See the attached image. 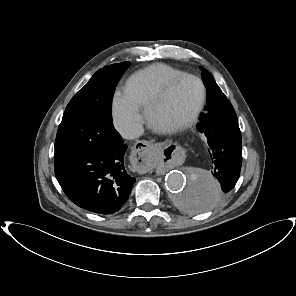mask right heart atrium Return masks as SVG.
<instances>
[{
  "label": "right heart atrium",
  "mask_w": 296,
  "mask_h": 296,
  "mask_svg": "<svg viewBox=\"0 0 296 296\" xmlns=\"http://www.w3.org/2000/svg\"><path fill=\"white\" fill-rule=\"evenodd\" d=\"M113 119L117 130L125 137H133L143 121L140 107L126 91H117L113 97Z\"/></svg>",
  "instance_id": "d8ad5b80"
}]
</instances>
